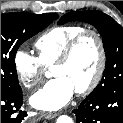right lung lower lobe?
<instances>
[{"mask_svg":"<svg viewBox=\"0 0 123 123\" xmlns=\"http://www.w3.org/2000/svg\"><path fill=\"white\" fill-rule=\"evenodd\" d=\"M23 103L22 90L13 92L1 91V123H21L27 116L20 107Z\"/></svg>","mask_w":123,"mask_h":123,"instance_id":"right-lung-lower-lobe-1","label":"right lung lower lobe"}]
</instances>
